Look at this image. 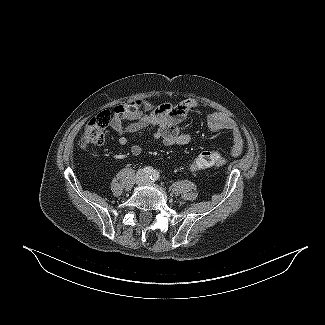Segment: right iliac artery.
Listing matches in <instances>:
<instances>
[{"label": "right iliac artery", "instance_id": "obj_1", "mask_svg": "<svg viewBox=\"0 0 325 325\" xmlns=\"http://www.w3.org/2000/svg\"><path fill=\"white\" fill-rule=\"evenodd\" d=\"M143 171L148 175H152L154 170L152 167L147 166L143 169Z\"/></svg>", "mask_w": 325, "mask_h": 325}]
</instances>
